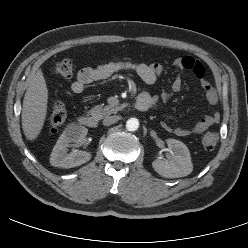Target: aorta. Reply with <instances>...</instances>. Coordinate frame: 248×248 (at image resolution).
Here are the masks:
<instances>
[{"label":"aorta","mask_w":248,"mask_h":248,"mask_svg":"<svg viewBox=\"0 0 248 248\" xmlns=\"http://www.w3.org/2000/svg\"><path fill=\"white\" fill-rule=\"evenodd\" d=\"M128 131H136L139 128V120L137 118H130L126 122Z\"/></svg>","instance_id":"obj_1"}]
</instances>
